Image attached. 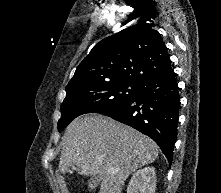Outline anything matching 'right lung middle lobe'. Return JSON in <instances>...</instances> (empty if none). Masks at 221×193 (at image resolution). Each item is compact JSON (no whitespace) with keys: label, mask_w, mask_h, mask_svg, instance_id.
Masks as SVG:
<instances>
[{"label":"right lung middle lobe","mask_w":221,"mask_h":193,"mask_svg":"<svg viewBox=\"0 0 221 193\" xmlns=\"http://www.w3.org/2000/svg\"><path fill=\"white\" fill-rule=\"evenodd\" d=\"M141 85L139 82H115L66 89V97L61 105L62 116L58 121V131L64 129L80 115L99 113L119 106L136 96Z\"/></svg>","instance_id":"obj_1"}]
</instances>
